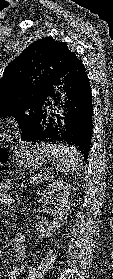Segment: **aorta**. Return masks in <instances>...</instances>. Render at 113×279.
I'll list each match as a JSON object with an SVG mask.
<instances>
[{
  "mask_svg": "<svg viewBox=\"0 0 113 279\" xmlns=\"http://www.w3.org/2000/svg\"><path fill=\"white\" fill-rule=\"evenodd\" d=\"M61 94V102L64 103L65 102V99H66V95L65 93H60Z\"/></svg>",
  "mask_w": 113,
  "mask_h": 279,
  "instance_id": "obj_1",
  "label": "aorta"
}]
</instances>
